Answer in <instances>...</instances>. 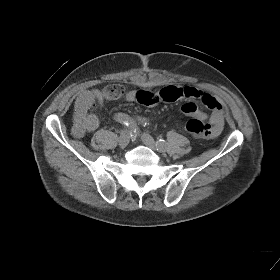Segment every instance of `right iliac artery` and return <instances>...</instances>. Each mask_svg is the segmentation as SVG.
I'll use <instances>...</instances> for the list:
<instances>
[{
	"label": "right iliac artery",
	"mask_w": 280,
	"mask_h": 280,
	"mask_svg": "<svg viewBox=\"0 0 280 280\" xmlns=\"http://www.w3.org/2000/svg\"><path fill=\"white\" fill-rule=\"evenodd\" d=\"M115 119L116 121L126 125L129 129V134L132 138V141L136 140V138L139 135V128L137 126V124L135 123V121L130 118L128 115L122 114V113H118L115 115Z\"/></svg>",
	"instance_id": "obj_1"
}]
</instances>
